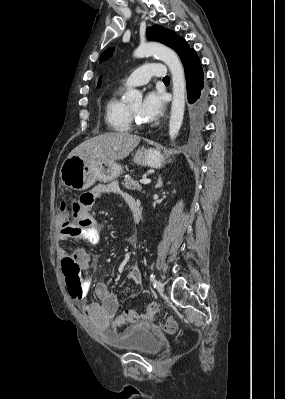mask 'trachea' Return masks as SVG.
Segmentation results:
<instances>
[{
    "mask_svg": "<svg viewBox=\"0 0 285 399\" xmlns=\"http://www.w3.org/2000/svg\"><path fill=\"white\" fill-rule=\"evenodd\" d=\"M163 81H170V79H169L168 76H166V77L163 78Z\"/></svg>",
    "mask_w": 285,
    "mask_h": 399,
    "instance_id": "3493384b",
    "label": "trachea"
}]
</instances>
